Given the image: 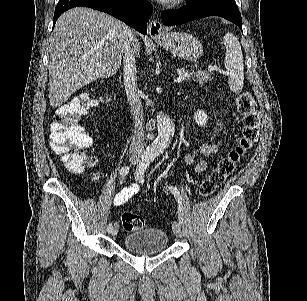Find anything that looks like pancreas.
Listing matches in <instances>:
<instances>
[{
    "mask_svg": "<svg viewBox=\"0 0 307 301\" xmlns=\"http://www.w3.org/2000/svg\"><path fill=\"white\" fill-rule=\"evenodd\" d=\"M211 74L212 72H207V70H192L185 80H197L198 84H205L208 80H212Z\"/></svg>",
    "mask_w": 307,
    "mask_h": 301,
    "instance_id": "1",
    "label": "pancreas"
}]
</instances>
